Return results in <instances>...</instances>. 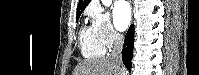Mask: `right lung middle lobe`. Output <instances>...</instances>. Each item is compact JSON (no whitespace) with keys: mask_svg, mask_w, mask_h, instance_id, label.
<instances>
[{"mask_svg":"<svg viewBox=\"0 0 199 75\" xmlns=\"http://www.w3.org/2000/svg\"><path fill=\"white\" fill-rule=\"evenodd\" d=\"M79 16H80V15H77V19H76L77 21H78V19H79Z\"/></svg>","mask_w":199,"mask_h":75,"instance_id":"right-lung-middle-lobe-1","label":"right lung middle lobe"}]
</instances>
